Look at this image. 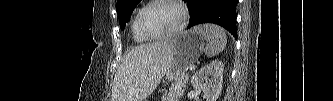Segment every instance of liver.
Wrapping results in <instances>:
<instances>
[{"label":"liver","mask_w":333,"mask_h":101,"mask_svg":"<svg viewBox=\"0 0 333 101\" xmlns=\"http://www.w3.org/2000/svg\"><path fill=\"white\" fill-rule=\"evenodd\" d=\"M171 57V40L133 48L118 68L111 101H144L166 74Z\"/></svg>","instance_id":"obj_1"}]
</instances>
